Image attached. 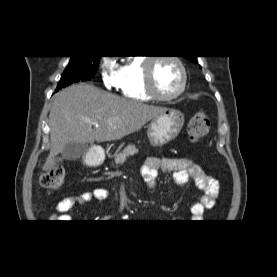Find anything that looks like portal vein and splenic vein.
<instances>
[{
	"label": "portal vein and splenic vein",
	"mask_w": 277,
	"mask_h": 277,
	"mask_svg": "<svg viewBox=\"0 0 277 277\" xmlns=\"http://www.w3.org/2000/svg\"><path fill=\"white\" fill-rule=\"evenodd\" d=\"M94 126H98L97 122L96 121H92L91 122Z\"/></svg>",
	"instance_id": "1"
}]
</instances>
